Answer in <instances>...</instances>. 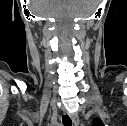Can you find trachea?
I'll return each instance as SVG.
<instances>
[{
  "label": "trachea",
  "mask_w": 127,
  "mask_h": 126,
  "mask_svg": "<svg viewBox=\"0 0 127 126\" xmlns=\"http://www.w3.org/2000/svg\"><path fill=\"white\" fill-rule=\"evenodd\" d=\"M62 122H63L64 126H71V123H72V121L68 115H64L62 117Z\"/></svg>",
  "instance_id": "3493384b"
}]
</instances>
